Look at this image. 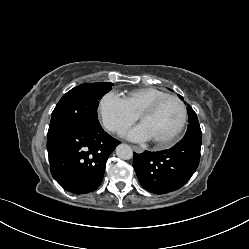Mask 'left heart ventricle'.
Masks as SVG:
<instances>
[{
	"label": "left heart ventricle",
	"instance_id": "1",
	"mask_svg": "<svg viewBox=\"0 0 249 249\" xmlns=\"http://www.w3.org/2000/svg\"><path fill=\"white\" fill-rule=\"evenodd\" d=\"M182 119V109L175 100L163 102L152 114L142 118L141 124L152 140L168 138L178 128Z\"/></svg>",
	"mask_w": 249,
	"mask_h": 249
}]
</instances>
